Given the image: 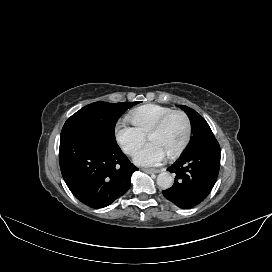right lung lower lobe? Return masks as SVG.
<instances>
[{
	"label": "right lung lower lobe",
	"instance_id": "98d812e1",
	"mask_svg": "<svg viewBox=\"0 0 272 272\" xmlns=\"http://www.w3.org/2000/svg\"><path fill=\"white\" fill-rule=\"evenodd\" d=\"M59 162L72 194L92 208H103L125 194L138 170L116 141L82 128L62 129Z\"/></svg>",
	"mask_w": 272,
	"mask_h": 272
}]
</instances>
